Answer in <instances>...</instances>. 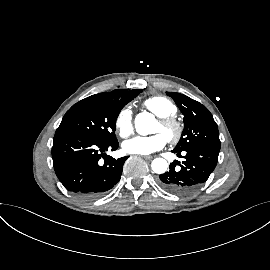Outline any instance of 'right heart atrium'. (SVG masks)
Masks as SVG:
<instances>
[{
	"label": "right heart atrium",
	"mask_w": 270,
	"mask_h": 270,
	"mask_svg": "<svg viewBox=\"0 0 270 270\" xmlns=\"http://www.w3.org/2000/svg\"><path fill=\"white\" fill-rule=\"evenodd\" d=\"M114 126L121 137L125 138L131 135L133 132V117L130 108L124 107L117 113Z\"/></svg>",
	"instance_id": "right-heart-atrium-1"
}]
</instances>
